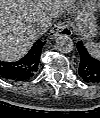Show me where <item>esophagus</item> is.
<instances>
[{
  "label": "esophagus",
  "mask_w": 100,
  "mask_h": 118,
  "mask_svg": "<svg viewBox=\"0 0 100 118\" xmlns=\"http://www.w3.org/2000/svg\"><path fill=\"white\" fill-rule=\"evenodd\" d=\"M72 30L67 23L60 22L55 24L49 32L50 39H56L59 36H71Z\"/></svg>",
  "instance_id": "obj_1"
}]
</instances>
